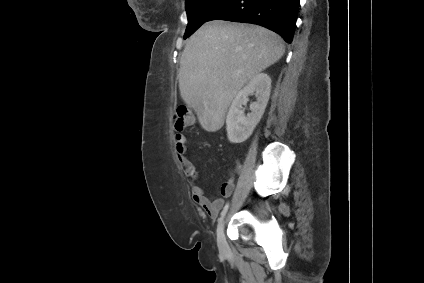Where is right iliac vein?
I'll return each mask as SVG.
<instances>
[{
  "label": "right iliac vein",
  "mask_w": 424,
  "mask_h": 283,
  "mask_svg": "<svg viewBox=\"0 0 424 283\" xmlns=\"http://www.w3.org/2000/svg\"><path fill=\"white\" fill-rule=\"evenodd\" d=\"M224 226H225V221L224 219H221V221L219 222L217 226V244H218L219 250L223 253L228 251V244L224 234Z\"/></svg>",
  "instance_id": "1"
}]
</instances>
